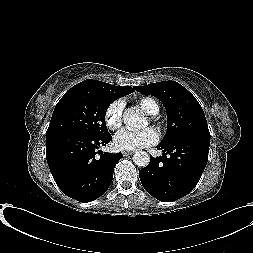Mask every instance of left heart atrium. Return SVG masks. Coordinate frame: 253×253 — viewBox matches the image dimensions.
<instances>
[{
	"label": "left heart atrium",
	"instance_id": "39dd6f15",
	"mask_svg": "<svg viewBox=\"0 0 253 253\" xmlns=\"http://www.w3.org/2000/svg\"><path fill=\"white\" fill-rule=\"evenodd\" d=\"M158 139V133L151 127L140 131L123 129L115 135L114 145L119 150L133 151L154 145Z\"/></svg>",
	"mask_w": 253,
	"mask_h": 253
}]
</instances>
